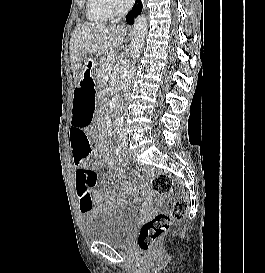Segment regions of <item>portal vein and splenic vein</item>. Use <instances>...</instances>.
I'll return each instance as SVG.
<instances>
[{
  "instance_id": "obj_1",
  "label": "portal vein and splenic vein",
  "mask_w": 265,
  "mask_h": 273,
  "mask_svg": "<svg viewBox=\"0 0 265 273\" xmlns=\"http://www.w3.org/2000/svg\"><path fill=\"white\" fill-rule=\"evenodd\" d=\"M111 72H112V67H109L106 72H105V76L108 77L111 75Z\"/></svg>"
}]
</instances>
